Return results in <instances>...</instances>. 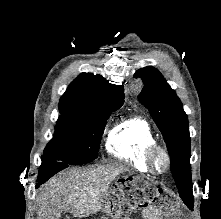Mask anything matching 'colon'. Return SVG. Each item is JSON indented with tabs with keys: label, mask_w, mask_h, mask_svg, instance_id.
<instances>
[{
	"label": "colon",
	"mask_w": 221,
	"mask_h": 219,
	"mask_svg": "<svg viewBox=\"0 0 221 219\" xmlns=\"http://www.w3.org/2000/svg\"><path fill=\"white\" fill-rule=\"evenodd\" d=\"M153 187L143 185L142 183H135L127 181L118 187V192L122 196L138 194L141 195L142 200L139 202V208L150 207L157 199V195H153ZM167 210L168 208H164Z\"/></svg>",
	"instance_id": "colon-1"
}]
</instances>
